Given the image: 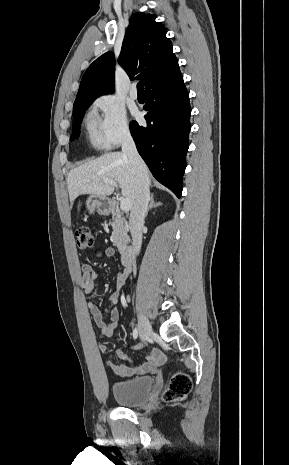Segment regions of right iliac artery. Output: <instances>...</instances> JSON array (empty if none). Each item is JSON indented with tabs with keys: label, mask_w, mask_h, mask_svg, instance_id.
<instances>
[{
	"label": "right iliac artery",
	"mask_w": 289,
	"mask_h": 465,
	"mask_svg": "<svg viewBox=\"0 0 289 465\" xmlns=\"http://www.w3.org/2000/svg\"><path fill=\"white\" fill-rule=\"evenodd\" d=\"M137 337H138V329L134 328V330H133V338L137 339Z\"/></svg>",
	"instance_id": "obj_1"
}]
</instances>
